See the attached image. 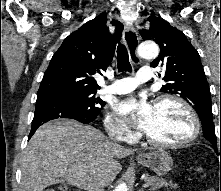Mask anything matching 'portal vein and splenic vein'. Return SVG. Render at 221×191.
<instances>
[{
    "instance_id": "portal-vein-and-splenic-vein-1",
    "label": "portal vein and splenic vein",
    "mask_w": 221,
    "mask_h": 191,
    "mask_svg": "<svg viewBox=\"0 0 221 191\" xmlns=\"http://www.w3.org/2000/svg\"><path fill=\"white\" fill-rule=\"evenodd\" d=\"M143 187H147V184H143Z\"/></svg>"
}]
</instances>
